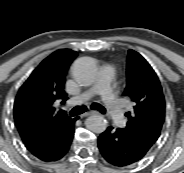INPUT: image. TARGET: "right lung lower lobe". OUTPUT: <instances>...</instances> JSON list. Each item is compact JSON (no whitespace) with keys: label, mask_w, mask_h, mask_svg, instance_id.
Listing matches in <instances>:
<instances>
[{"label":"right lung lower lobe","mask_w":184,"mask_h":173,"mask_svg":"<svg viewBox=\"0 0 184 173\" xmlns=\"http://www.w3.org/2000/svg\"><path fill=\"white\" fill-rule=\"evenodd\" d=\"M75 119L60 123L49 129L22 137L26 147L41 160L61 159L69 150L73 136Z\"/></svg>","instance_id":"1"}]
</instances>
